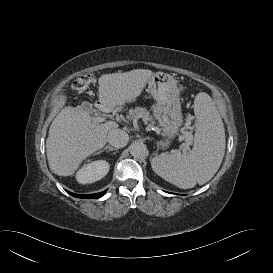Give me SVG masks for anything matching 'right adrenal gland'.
<instances>
[{
	"instance_id": "obj_1",
	"label": "right adrenal gland",
	"mask_w": 273,
	"mask_h": 273,
	"mask_svg": "<svg viewBox=\"0 0 273 273\" xmlns=\"http://www.w3.org/2000/svg\"><path fill=\"white\" fill-rule=\"evenodd\" d=\"M108 149V151H114V150H117V148H114V147H111V146H106V147H104L102 150H100L99 152H98V154H100V153H102L104 150H107Z\"/></svg>"
}]
</instances>
